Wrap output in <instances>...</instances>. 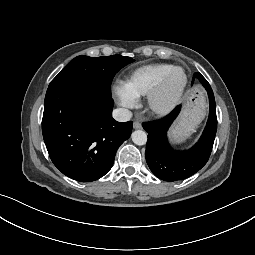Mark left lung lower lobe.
Segmentation results:
<instances>
[{
	"label": "left lung lower lobe",
	"instance_id": "obj_1",
	"mask_svg": "<svg viewBox=\"0 0 255 255\" xmlns=\"http://www.w3.org/2000/svg\"><path fill=\"white\" fill-rule=\"evenodd\" d=\"M194 77L200 80L208 92L210 111L204 132L191 149L175 151L168 143L167 131L179 114L180 106L162 119L142 124L148 132L145 153L147 164L152 173L161 180L177 181L195 174L207 163L212 151L217 131L215 98L206 79L197 73Z\"/></svg>",
	"mask_w": 255,
	"mask_h": 255
}]
</instances>
